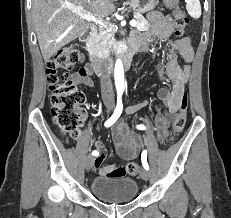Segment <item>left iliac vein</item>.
<instances>
[{"label": "left iliac vein", "instance_id": "obj_1", "mask_svg": "<svg viewBox=\"0 0 231 218\" xmlns=\"http://www.w3.org/2000/svg\"><path fill=\"white\" fill-rule=\"evenodd\" d=\"M149 172H148V170H146V169H142L141 170V177H142V179H144L145 181H147L148 179H149Z\"/></svg>", "mask_w": 231, "mask_h": 218}]
</instances>
